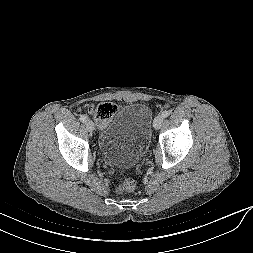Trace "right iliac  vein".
<instances>
[{
    "instance_id": "63e3f726",
    "label": "right iliac vein",
    "mask_w": 253,
    "mask_h": 253,
    "mask_svg": "<svg viewBox=\"0 0 253 253\" xmlns=\"http://www.w3.org/2000/svg\"><path fill=\"white\" fill-rule=\"evenodd\" d=\"M85 125H86V129L89 132H93L94 131L95 126H94V123L92 121H90V120L86 121Z\"/></svg>"
}]
</instances>
